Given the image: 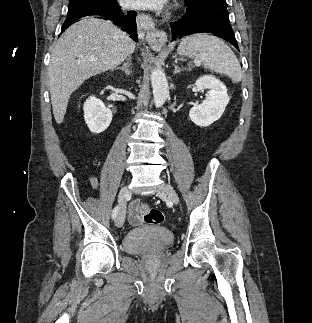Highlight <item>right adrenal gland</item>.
<instances>
[{
  "instance_id": "1",
  "label": "right adrenal gland",
  "mask_w": 312,
  "mask_h": 323,
  "mask_svg": "<svg viewBox=\"0 0 312 323\" xmlns=\"http://www.w3.org/2000/svg\"><path fill=\"white\" fill-rule=\"evenodd\" d=\"M131 66V62L130 60H126V62H124L123 66H121V68H117V70H122V72H124V74H126V76H131V72L129 70Z\"/></svg>"
}]
</instances>
